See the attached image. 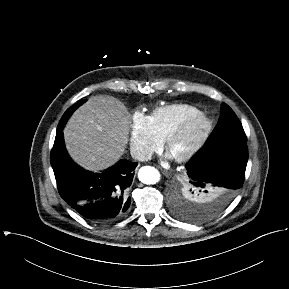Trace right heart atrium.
<instances>
[{
    "label": "right heart atrium",
    "mask_w": 289,
    "mask_h": 289,
    "mask_svg": "<svg viewBox=\"0 0 289 289\" xmlns=\"http://www.w3.org/2000/svg\"><path fill=\"white\" fill-rule=\"evenodd\" d=\"M162 146V140L155 134L149 116L135 112L129 125V147L134 158L149 159Z\"/></svg>",
    "instance_id": "d8ad5b80"
}]
</instances>
